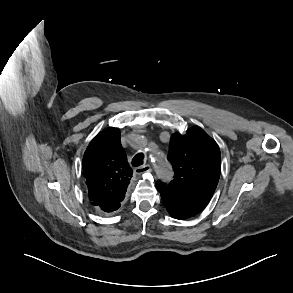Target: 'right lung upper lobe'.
Returning <instances> with one entry per match:
<instances>
[{
	"instance_id": "right-lung-upper-lobe-1",
	"label": "right lung upper lobe",
	"mask_w": 293,
	"mask_h": 293,
	"mask_svg": "<svg viewBox=\"0 0 293 293\" xmlns=\"http://www.w3.org/2000/svg\"><path fill=\"white\" fill-rule=\"evenodd\" d=\"M120 138L118 128H106L92 140L83 157L88 196L105 213L121 206L132 177Z\"/></svg>"
}]
</instances>
